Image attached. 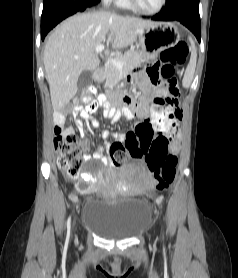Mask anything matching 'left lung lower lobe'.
Instances as JSON below:
<instances>
[{
  "instance_id": "0a47b994",
  "label": "left lung lower lobe",
  "mask_w": 238,
  "mask_h": 278,
  "mask_svg": "<svg viewBox=\"0 0 238 278\" xmlns=\"http://www.w3.org/2000/svg\"><path fill=\"white\" fill-rule=\"evenodd\" d=\"M155 21H178L190 29L200 42L199 0H166L161 13L151 17Z\"/></svg>"
}]
</instances>
